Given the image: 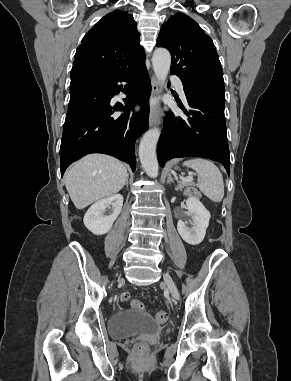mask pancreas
Here are the masks:
<instances>
[{
    "label": "pancreas",
    "instance_id": "obj_1",
    "mask_svg": "<svg viewBox=\"0 0 291 381\" xmlns=\"http://www.w3.org/2000/svg\"><path fill=\"white\" fill-rule=\"evenodd\" d=\"M179 183H180L181 186H187V185H190V182L187 181V180H184V179H182L181 181H179Z\"/></svg>",
    "mask_w": 291,
    "mask_h": 381
}]
</instances>
